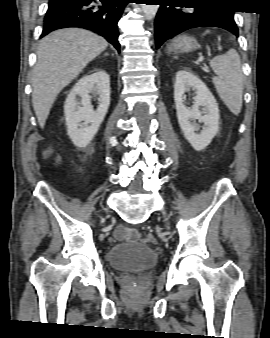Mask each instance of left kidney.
<instances>
[{
	"label": "left kidney",
	"mask_w": 270,
	"mask_h": 338,
	"mask_svg": "<svg viewBox=\"0 0 270 338\" xmlns=\"http://www.w3.org/2000/svg\"><path fill=\"white\" fill-rule=\"evenodd\" d=\"M191 88L195 90L196 97L193 107L189 109L184 105L183 95ZM174 101L178 122L185 138L195 150L205 149L219 129L220 115L216 99L198 76L188 69H183L176 73ZM200 107H203L202 111L199 110ZM196 119L204 123L200 133H196L198 125L191 122Z\"/></svg>",
	"instance_id": "1"
}]
</instances>
